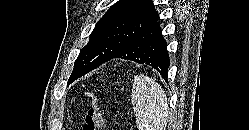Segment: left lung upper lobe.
Returning a JSON list of instances; mask_svg holds the SVG:
<instances>
[{
	"label": "left lung upper lobe",
	"mask_w": 249,
	"mask_h": 130,
	"mask_svg": "<svg viewBox=\"0 0 249 130\" xmlns=\"http://www.w3.org/2000/svg\"><path fill=\"white\" fill-rule=\"evenodd\" d=\"M158 20L152 0H119L98 21L80 51L68 85L109 61L136 35Z\"/></svg>",
	"instance_id": "1"
}]
</instances>
